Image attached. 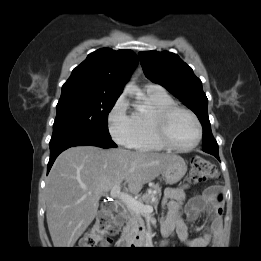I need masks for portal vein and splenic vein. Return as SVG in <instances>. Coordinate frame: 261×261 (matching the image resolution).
<instances>
[{"label": "portal vein and splenic vein", "mask_w": 261, "mask_h": 261, "mask_svg": "<svg viewBox=\"0 0 261 261\" xmlns=\"http://www.w3.org/2000/svg\"><path fill=\"white\" fill-rule=\"evenodd\" d=\"M110 196L112 198H118L123 202L128 208L137 213H152L153 207L150 205H144L142 202L136 200L129 194L121 192L120 185H116L111 189Z\"/></svg>", "instance_id": "1"}]
</instances>
